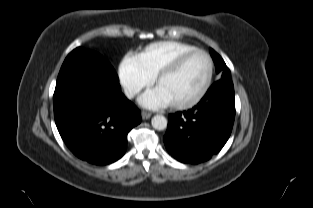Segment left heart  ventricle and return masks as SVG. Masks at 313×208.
<instances>
[{"label": "left heart ventricle", "instance_id": "left-heart-ventricle-1", "mask_svg": "<svg viewBox=\"0 0 313 208\" xmlns=\"http://www.w3.org/2000/svg\"><path fill=\"white\" fill-rule=\"evenodd\" d=\"M208 74V61L202 54L189 57L173 74L164 78L156 89L172 103L194 98L203 87Z\"/></svg>", "mask_w": 313, "mask_h": 208}]
</instances>
